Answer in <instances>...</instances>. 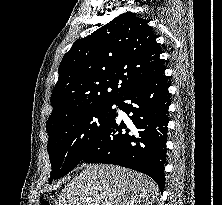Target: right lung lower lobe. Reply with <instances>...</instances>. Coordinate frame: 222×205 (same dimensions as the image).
<instances>
[{
    "mask_svg": "<svg viewBox=\"0 0 222 205\" xmlns=\"http://www.w3.org/2000/svg\"><path fill=\"white\" fill-rule=\"evenodd\" d=\"M164 70L127 90L118 107L130 117L131 126L116 113L113 121L94 139L82 161L137 170L150 176L164 190L170 105Z\"/></svg>",
    "mask_w": 222,
    "mask_h": 205,
    "instance_id": "obj_1",
    "label": "right lung lower lobe"
}]
</instances>
